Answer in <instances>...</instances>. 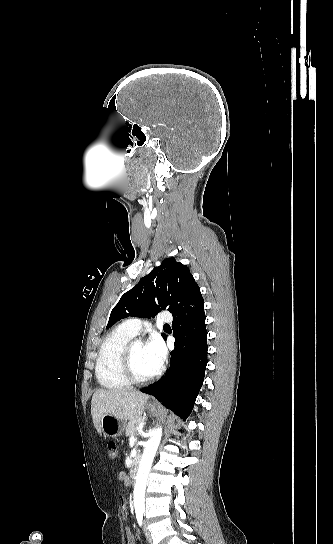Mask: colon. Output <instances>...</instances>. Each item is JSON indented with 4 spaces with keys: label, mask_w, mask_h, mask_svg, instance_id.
Returning <instances> with one entry per match:
<instances>
[{
    "label": "colon",
    "mask_w": 333,
    "mask_h": 544,
    "mask_svg": "<svg viewBox=\"0 0 333 544\" xmlns=\"http://www.w3.org/2000/svg\"><path fill=\"white\" fill-rule=\"evenodd\" d=\"M107 451L111 459H116L118 456L117 444L114 441L107 442Z\"/></svg>",
    "instance_id": "5ec220e1"
}]
</instances>
